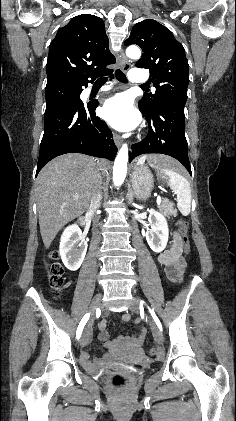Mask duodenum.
<instances>
[{"mask_svg":"<svg viewBox=\"0 0 236 421\" xmlns=\"http://www.w3.org/2000/svg\"><path fill=\"white\" fill-rule=\"evenodd\" d=\"M79 222H81V219L78 221V223ZM158 260L162 265L165 266L167 276L170 280H175L180 276L184 267V263L177 248L172 246L171 249L158 255ZM111 357V355H106L104 358L96 359L95 361L91 362L88 356L82 355V363L88 371L97 372L107 363Z\"/></svg>","mask_w":236,"mask_h":421,"instance_id":"duodenum-1","label":"duodenum"}]
</instances>
